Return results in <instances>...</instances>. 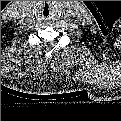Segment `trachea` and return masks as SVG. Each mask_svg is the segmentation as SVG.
<instances>
[{
  "instance_id": "3493384b",
  "label": "trachea",
  "mask_w": 121,
  "mask_h": 121,
  "mask_svg": "<svg viewBox=\"0 0 121 121\" xmlns=\"http://www.w3.org/2000/svg\"><path fill=\"white\" fill-rule=\"evenodd\" d=\"M52 13L51 5L47 2L42 3L40 8V15L44 18H48Z\"/></svg>"
}]
</instances>
